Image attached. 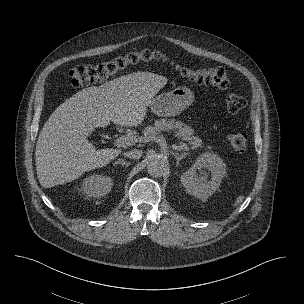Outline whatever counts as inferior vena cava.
<instances>
[{
    "instance_id": "602c4592",
    "label": "inferior vena cava",
    "mask_w": 304,
    "mask_h": 304,
    "mask_svg": "<svg viewBox=\"0 0 304 304\" xmlns=\"http://www.w3.org/2000/svg\"><path fill=\"white\" fill-rule=\"evenodd\" d=\"M142 150L133 149L124 153V156L131 159H140L142 156Z\"/></svg>"
}]
</instances>
